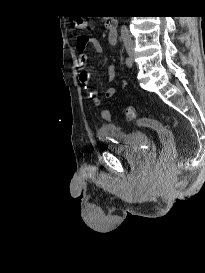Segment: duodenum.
Returning a JSON list of instances; mask_svg holds the SVG:
<instances>
[{
  "label": "duodenum",
  "mask_w": 205,
  "mask_h": 273,
  "mask_svg": "<svg viewBox=\"0 0 205 273\" xmlns=\"http://www.w3.org/2000/svg\"><path fill=\"white\" fill-rule=\"evenodd\" d=\"M117 20L114 17H109L105 21V27L112 35L116 29Z\"/></svg>",
  "instance_id": "obj_1"
}]
</instances>
